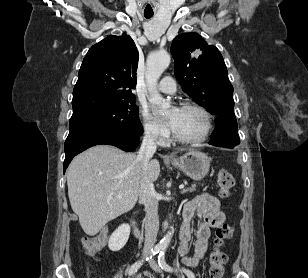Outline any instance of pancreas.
I'll list each match as a JSON object with an SVG mask.
<instances>
[{
    "instance_id": "pancreas-1",
    "label": "pancreas",
    "mask_w": 308,
    "mask_h": 278,
    "mask_svg": "<svg viewBox=\"0 0 308 278\" xmlns=\"http://www.w3.org/2000/svg\"><path fill=\"white\" fill-rule=\"evenodd\" d=\"M195 188H196V185H193L191 188H188L186 190H183L184 193H187V192H193L195 191Z\"/></svg>"
}]
</instances>
